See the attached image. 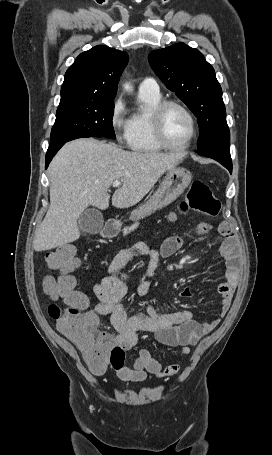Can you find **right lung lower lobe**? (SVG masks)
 Wrapping results in <instances>:
<instances>
[{
    "mask_svg": "<svg viewBox=\"0 0 272 455\" xmlns=\"http://www.w3.org/2000/svg\"><path fill=\"white\" fill-rule=\"evenodd\" d=\"M65 143L57 144L54 146H50L48 148L47 154H46V168L48 167L50 161L54 157V155L57 153V151L64 145Z\"/></svg>",
    "mask_w": 272,
    "mask_h": 455,
    "instance_id": "1",
    "label": "right lung lower lobe"
}]
</instances>
